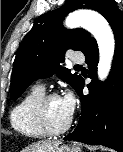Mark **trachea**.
Segmentation results:
<instances>
[{
    "instance_id": "trachea-1",
    "label": "trachea",
    "mask_w": 123,
    "mask_h": 152,
    "mask_svg": "<svg viewBox=\"0 0 123 152\" xmlns=\"http://www.w3.org/2000/svg\"><path fill=\"white\" fill-rule=\"evenodd\" d=\"M75 68L80 69V68H82V66L81 65H76Z\"/></svg>"
}]
</instances>
